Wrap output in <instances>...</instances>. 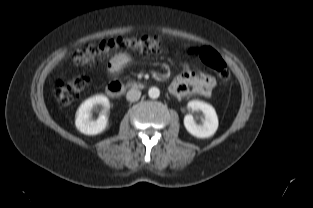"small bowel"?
I'll return each mask as SVG.
<instances>
[{
    "label": "small bowel",
    "mask_w": 313,
    "mask_h": 208,
    "mask_svg": "<svg viewBox=\"0 0 313 208\" xmlns=\"http://www.w3.org/2000/svg\"><path fill=\"white\" fill-rule=\"evenodd\" d=\"M132 57L126 52L113 55L108 63V74L111 79H116L122 71L132 63ZM183 70L171 81L169 92L175 97L198 95L209 97L215 86V80L202 73L192 71L187 63Z\"/></svg>",
    "instance_id": "obj_1"
}]
</instances>
